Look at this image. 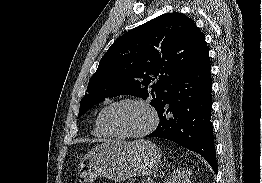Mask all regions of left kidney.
<instances>
[{
    "label": "left kidney",
    "mask_w": 262,
    "mask_h": 183,
    "mask_svg": "<svg viewBox=\"0 0 262 183\" xmlns=\"http://www.w3.org/2000/svg\"><path fill=\"white\" fill-rule=\"evenodd\" d=\"M192 171L182 167L174 170L165 183H191Z\"/></svg>",
    "instance_id": "left-kidney-1"
}]
</instances>
